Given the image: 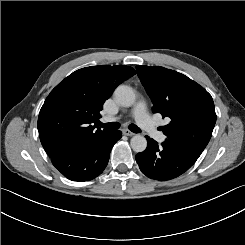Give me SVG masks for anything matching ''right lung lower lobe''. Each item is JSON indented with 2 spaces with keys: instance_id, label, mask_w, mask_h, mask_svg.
<instances>
[{
  "instance_id": "98d812e1",
  "label": "right lung lower lobe",
  "mask_w": 245,
  "mask_h": 245,
  "mask_svg": "<svg viewBox=\"0 0 245 245\" xmlns=\"http://www.w3.org/2000/svg\"><path fill=\"white\" fill-rule=\"evenodd\" d=\"M121 137L120 131L108 130L87 140L71 143L50 158L53 165L68 179L92 180L103 172L113 145Z\"/></svg>"
}]
</instances>
